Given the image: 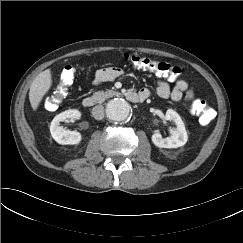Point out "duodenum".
Listing matches in <instances>:
<instances>
[{"instance_id": "1", "label": "duodenum", "mask_w": 243, "mask_h": 243, "mask_svg": "<svg viewBox=\"0 0 243 243\" xmlns=\"http://www.w3.org/2000/svg\"><path fill=\"white\" fill-rule=\"evenodd\" d=\"M126 98L131 101V102H134V103H137V102H142L144 101L146 98H147V95H143V94H139V93H135V92H130V93H127L126 94ZM97 103V100L96 98L94 97H85L82 101V105L85 107V108H91L93 107L94 105H96Z\"/></svg>"}]
</instances>
